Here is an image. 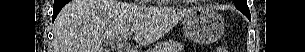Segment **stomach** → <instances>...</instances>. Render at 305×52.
<instances>
[{
	"label": "stomach",
	"instance_id": "0dacf381",
	"mask_svg": "<svg viewBox=\"0 0 305 52\" xmlns=\"http://www.w3.org/2000/svg\"><path fill=\"white\" fill-rule=\"evenodd\" d=\"M224 29L220 14L206 7L192 9L183 19V32L190 40L209 44L217 40Z\"/></svg>",
	"mask_w": 305,
	"mask_h": 52
}]
</instances>
